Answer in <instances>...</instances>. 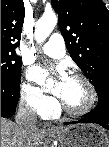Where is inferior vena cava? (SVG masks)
Wrapping results in <instances>:
<instances>
[{"mask_svg": "<svg viewBox=\"0 0 109 147\" xmlns=\"http://www.w3.org/2000/svg\"><path fill=\"white\" fill-rule=\"evenodd\" d=\"M37 116L31 106L20 105L16 114V124L22 135V146L33 147V136L36 131Z\"/></svg>", "mask_w": 109, "mask_h": 147, "instance_id": "inferior-vena-cava-1", "label": "inferior vena cava"}]
</instances>
